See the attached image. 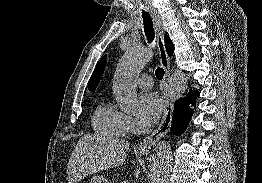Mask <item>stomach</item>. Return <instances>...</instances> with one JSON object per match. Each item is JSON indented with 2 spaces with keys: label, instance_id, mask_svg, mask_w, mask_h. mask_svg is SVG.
I'll list each match as a JSON object with an SVG mask.
<instances>
[{
  "label": "stomach",
  "instance_id": "0dacf381",
  "mask_svg": "<svg viewBox=\"0 0 262 183\" xmlns=\"http://www.w3.org/2000/svg\"><path fill=\"white\" fill-rule=\"evenodd\" d=\"M145 154V153H143ZM89 183H111L105 177L100 175H93Z\"/></svg>",
  "mask_w": 262,
  "mask_h": 183
}]
</instances>
